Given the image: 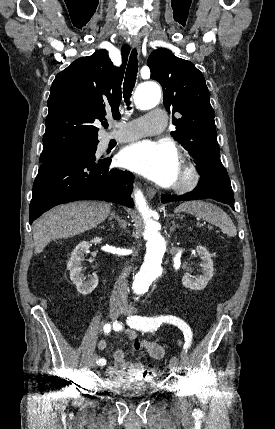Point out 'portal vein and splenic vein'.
<instances>
[{
	"label": "portal vein and splenic vein",
	"mask_w": 275,
	"mask_h": 429,
	"mask_svg": "<svg viewBox=\"0 0 275 429\" xmlns=\"http://www.w3.org/2000/svg\"><path fill=\"white\" fill-rule=\"evenodd\" d=\"M208 228L211 230H214V228L211 225H208Z\"/></svg>",
	"instance_id": "1"
}]
</instances>
